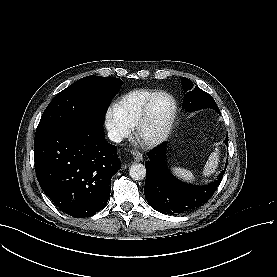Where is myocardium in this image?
<instances>
[{
	"mask_svg": "<svg viewBox=\"0 0 277 277\" xmlns=\"http://www.w3.org/2000/svg\"><path fill=\"white\" fill-rule=\"evenodd\" d=\"M158 96L166 97L172 104V111H171L169 120H168L165 128L158 135L153 136V137H144L143 133H142L143 127H144V125H145V123L148 119L150 108H151L154 100ZM176 114H177V104H176L175 99L167 92H164V91L154 92L148 98V100H147V102L144 106V109L142 111V114H141V116L139 117V119L136 123L135 131H134V136H135L136 140L141 144V146H143L145 148L154 147L156 145H159L169 135V133L172 129Z\"/></svg>",
	"mask_w": 277,
	"mask_h": 277,
	"instance_id": "myocardium-1",
	"label": "myocardium"
}]
</instances>
